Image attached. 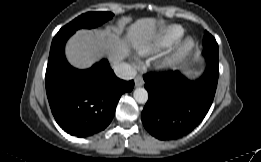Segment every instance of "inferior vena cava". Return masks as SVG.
<instances>
[{"label":"inferior vena cava","instance_id":"1","mask_svg":"<svg viewBox=\"0 0 261 162\" xmlns=\"http://www.w3.org/2000/svg\"><path fill=\"white\" fill-rule=\"evenodd\" d=\"M113 70L117 77L124 80H131L137 74V70L135 66L124 62L114 65Z\"/></svg>","mask_w":261,"mask_h":162}]
</instances>
